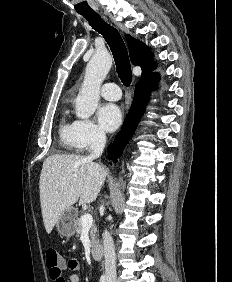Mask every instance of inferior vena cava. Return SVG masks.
Listing matches in <instances>:
<instances>
[{"mask_svg":"<svg viewBox=\"0 0 232 282\" xmlns=\"http://www.w3.org/2000/svg\"><path fill=\"white\" fill-rule=\"evenodd\" d=\"M106 144V135L103 131L96 134L93 149L91 154L87 157L89 161L99 158L104 150ZM104 209L103 206H101ZM103 246L105 257V274L107 282H115L116 279V255L113 239L110 233L105 230L103 233Z\"/></svg>","mask_w":232,"mask_h":282,"instance_id":"obj_1","label":"inferior vena cava"}]
</instances>
